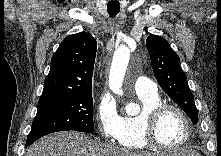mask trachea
<instances>
[{"mask_svg": "<svg viewBox=\"0 0 221 156\" xmlns=\"http://www.w3.org/2000/svg\"><path fill=\"white\" fill-rule=\"evenodd\" d=\"M107 11L111 17H115L120 11V3L118 1H110L107 3Z\"/></svg>", "mask_w": 221, "mask_h": 156, "instance_id": "1", "label": "trachea"}]
</instances>
